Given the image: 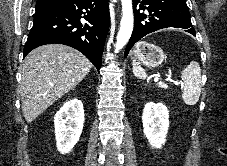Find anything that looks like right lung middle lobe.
Returning <instances> with one entry per match:
<instances>
[{
  "label": "right lung middle lobe",
  "mask_w": 227,
  "mask_h": 166,
  "mask_svg": "<svg viewBox=\"0 0 227 166\" xmlns=\"http://www.w3.org/2000/svg\"><path fill=\"white\" fill-rule=\"evenodd\" d=\"M44 8H46V7H37V6H36V11L42 10V9H44Z\"/></svg>",
  "instance_id": "dd1d6c3e"
}]
</instances>
